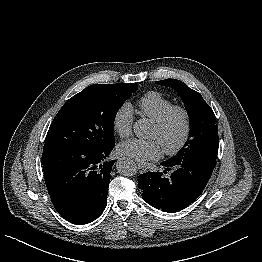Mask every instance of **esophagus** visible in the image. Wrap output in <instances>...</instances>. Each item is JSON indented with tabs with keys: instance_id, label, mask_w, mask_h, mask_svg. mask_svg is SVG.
Wrapping results in <instances>:
<instances>
[{
	"instance_id": "1",
	"label": "esophagus",
	"mask_w": 262,
	"mask_h": 262,
	"mask_svg": "<svg viewBox=\"0 0 262 262\" xmlns=\"http://www.w3.org/2000/svg\"><path fill=\"white\" fill-rule=\"evenodd\" d=\"M137 168H138L140 173H145L146 170H147L146 167L141 162H137Z\"/></svg>"
}]
</instances>
